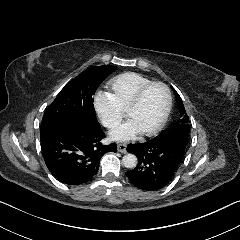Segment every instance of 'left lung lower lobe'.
<instances>
[{
	"mask_svg": "<svg viewBox=\"0 0 240 240\" xmlns=\"http://www.w3.org/2000/svg\"><path fill=\"white\" fill-rule=\"evenodd\" d=\"M178 137H157L145 143L129 144L127 151L138 158V165L126 172L130 182L139 189L155 191L173 178L187 145Z\"/></svg>",
	"mask_w": 240,
	"mask_h": 240,
	"instance_id": "obj_1",
	"label": "left lung lower lobe"
}]
</instances>
